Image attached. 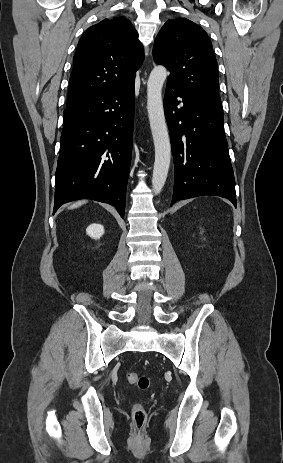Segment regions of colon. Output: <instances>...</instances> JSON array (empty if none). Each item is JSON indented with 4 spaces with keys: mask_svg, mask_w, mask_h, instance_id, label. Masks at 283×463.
<instances>
[{
    "mask_svg": "<svg viewBox=\"0 0 283 463\" xmlns=\"http://www.w3.org/2000/svg\"><path fill=\"white\" fill-rule=\"evenodd\" d=\"M127 379L130 384L135 385L138 389L142 391H147L150 388V379L146 375L129 373L127 375ZM131 414L135 427V433L137 436H141L147 421V413L142 402L137 401L133 404Z\"/></svg>",
    "mask_w": 283,
    "mask_h": 463,
    "instance_id": "colon-1",
    "label": "colon"
}]
</instances>
